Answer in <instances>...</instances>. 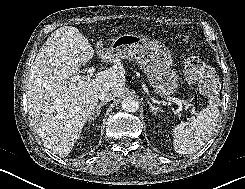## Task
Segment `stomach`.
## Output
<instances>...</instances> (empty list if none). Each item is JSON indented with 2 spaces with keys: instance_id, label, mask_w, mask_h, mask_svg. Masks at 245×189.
Returning <instances> with one entry per match:
<instances>
[{
  "instance_id": "obj_1",
  "label": "stomach",
  "mask_w": 245,
  "mask_h": 189,
  "mask_svg": "<svg viewBox=\"0 0 245 189\" xmlns=\"http://www.w3.org/2000/svg\"><path fill=\"white\" fill-rule=\"evenodd\" d=\"M108 50L117 58L137 60L160 96L167 97L176 91L178 74L171 51L162 42L143 35L123 34L113 39Z\"/></svg>"
}]
</instances>
